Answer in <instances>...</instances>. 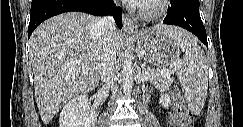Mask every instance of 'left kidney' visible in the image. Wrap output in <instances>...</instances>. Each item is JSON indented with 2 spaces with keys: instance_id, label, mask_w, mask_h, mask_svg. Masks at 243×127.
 <instances>
[{
  "instance_id": "obj_1",
  "label": "left kidney",
  "mask_w": 243,
  "mask_h": 127,
  "mask_svg": "<svg viewBox=\"0 0 243 127\" xmlns=\"http://www.w3.org/2000/svg\"><path fill=\"white\" fill-rule=\"evenodd\" d=\"M159 104L168 109L171 105L170 96L168 94H162L159 98Z\"/></svg>"
}]
</instances>
